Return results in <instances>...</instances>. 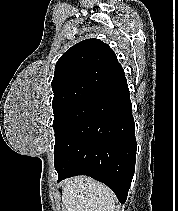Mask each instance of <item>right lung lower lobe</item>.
Returning <instances> with one entry per match:
<instances>
[{
	"label": "right lung lower lobe",
	"instance_id": "1",
	"mask_svg": "<svg viewBox=\"0 0 178 211\" xmlns=\"http://www.w3.org/2000/svg\"><path fill=\"white\" fill-rule=\"evenodd\" d=\"M128 85L98 100L54 152L58 182L87 175L126 201L136 162Z\"/></svg>",
	"mask_w": 178,
	"mask_h": 211
}]
</instances>
